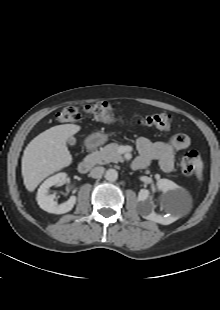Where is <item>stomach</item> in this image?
Returning a JSON list of instances; mask_svg holds the SVG:
<instances>
[{"label": "stomach", "mask_w": 220, "mask_h": 310, "mask_svg": "<svg viewBox=\"0 0 220 310\" xmlns=\"http://www.w3.org/2000/svg\"><path fill=\"white\" fill-rule=\"evenodd\" d=\"M107 140V136L101 133H94L87 139L89 146H97L104 143Z\"/></svg>", "instance_id": "1"}]
</instances>
